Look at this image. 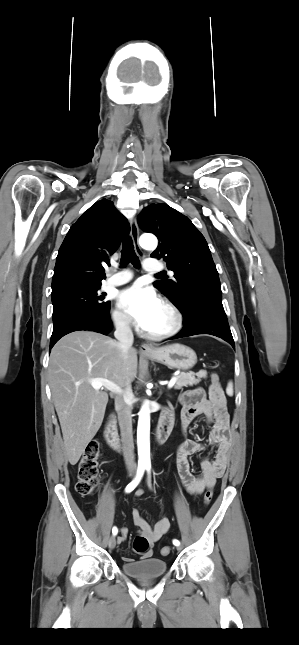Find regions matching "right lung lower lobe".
<instances>
[{"instance_id":"98d812e1","label":"right lung lower lobe","mask_w":299,"mask_h":645,"mask_svg":"<svg viewBox=\"0 0 299 645\" xmlns=\"http://www.w3.org/2000/svg\"><path fill=\"white\" fill-rule=\"evenodd\" d=\"M112 329L109 313L106 315L87 314L76 317L57 329H53L50 348L64 335L80 330H89L107 335Z\"/></svg>"}]
</instances>
